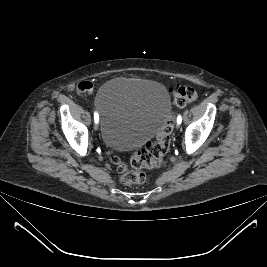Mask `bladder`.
<instances>
[{
    "instance_id": "bladder-1",
    "label": "bladder",
    "mask_w": 267,
    "mask_h": 267,
    "mask_svg": "<svg viewBox=\"0 0 267 267\" xmlns=\"http://www.w3.org/2000/svg\"><path fill=\"white\" fill-rule=\"evenodd\" d=\"M95 105L101 137L113 150L128 151L158 134L171 114V97L160 83L118 77L99 90Z\"/></svg>"
}]
</instances>
